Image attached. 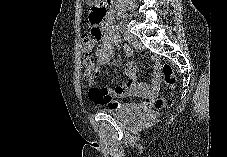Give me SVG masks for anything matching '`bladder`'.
Instances as JSON below:
<instances>
[{"mask_svg":"<svg viewBox=\"0 0 227 157\" xmlns=\"http://www.w3.org/2000/svg\"><path fill=\"white\" fill-rule=\"evenodd\" d=\"M101 112L112 116L115 119L127 121L135 118L138 115L136 111H129L123 109H113V108H104L101 109Z\"/></svg>","mask_w":227,"mask_h":157,"instance_id":"obj_1","label":"bladder"}]
</instances>
